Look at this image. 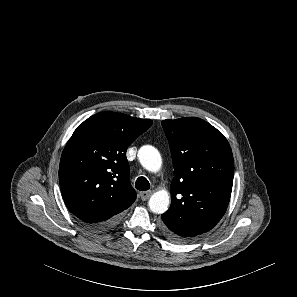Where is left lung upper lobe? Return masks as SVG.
<instances>
[{"label": "left lung upper lobe", "mask_w": 297, "mask_h": 297, "mask_svg": "<svg viewBox=\"0 0 297 297\" xmlns=\"http://www.w3.org/2000/svg\"><path fill=\"white\" fill-rule=\"evenodd\" d=\"M161 123L175 175L171 206L161 218L188 241L211 230L225 214L233 185L232 151L224 135L200 118Z\"/></svg>", "instance_id": "5c2ea615"}]
</instances>
